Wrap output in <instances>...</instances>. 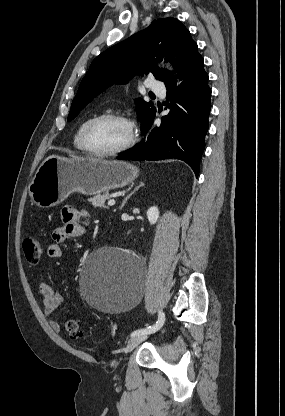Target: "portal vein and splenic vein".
I'll list each match as a JSON object with an SVG mask.
<instances>
[{
	"instance_id": "portal-vein-and-splenic-vein-1",
	"label": "portal vein and splenic vein",
	"mask_w": 285,
	"mask_h": 416,
	"mask_svg": "<svg viewBox=\"0 0 285 416\" xmlns=\"http://www.w3.org/2000/svg\"><path fill=\"white\" fill-rule=\"evenodd\" d=\"M116 204L115 200H109L108 206H114Z\"/></svg>"
}]
</instances>
